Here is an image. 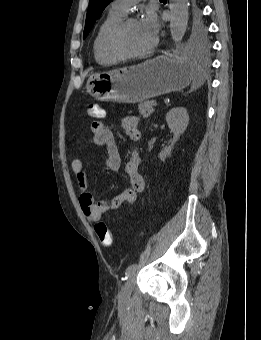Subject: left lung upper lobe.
Listing matches in <instances>:
<instances>
[{"label": "left lung upper lobe", "instance_id": "obj_1", "mask_svg": "<svg viewBox=\"0 0 261 340\" xmlns=\"http://www.w3.org/2000/svg\"><path fill=\"white\" fill-rule=\"evenodd\" d=\"M111 1L112 0H90L83 38L88 35L95 21ZM195 2L196 0H192L190 8L188 42L192 47L204 49L208 45L207 31L202 20L201 11Z\"/></svg>", "mask_w": 261, "mask_h": 340}]
</instances>
